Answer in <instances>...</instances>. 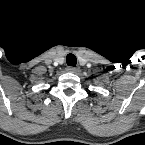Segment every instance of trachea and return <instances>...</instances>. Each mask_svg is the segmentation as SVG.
<instances>
[{"instance_id": "obj_1", "label": "trachea", "mask_w": 145, "mask_h": 145, "mask_svg": "<svg viewBox=\"0 0 145 145\" xmlns=\"http://www.w3.org/2000/svg\"><path fill=\"white\" fill-rule=\"evenodd\" d=\"M66 62H67V65L68 66L75 67L76 66V63H77V59H76L75 55L68 54L67 57H66Z\"/></svg>"}]
</instances>
